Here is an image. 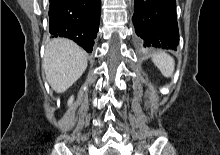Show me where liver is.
I'll return each instance as SVG.
<instances>
[{
  "instance_id": "obj_1",
  "label": "liver",
  "mask_w": 220,
  "mask_h": 155,
  "mask_svg": "<svg viewBox=\"0 0 220 155\" xmlns=\"http://www.w3.org/2000/svg\"><path fill=\"white\" fill-rule=\"evenodd\" d=\"M87 57V53L71 40H51L46 46L42 66L53 90L62 93L70 88L86 70Z\"/></svg>"
}]
</instances>
